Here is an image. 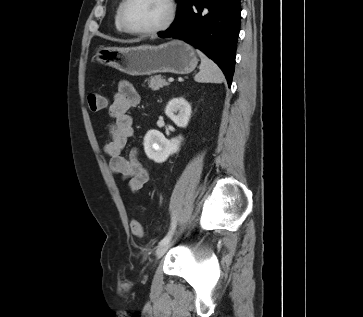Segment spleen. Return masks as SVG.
<instances>
[{
  "mask_svg": "<svg viewBox=\"0 0 363 317\" xmlns=\"http://www.w3.org/2000/svg\"><path fill=\"white\" fill-rule=\"evenodd\" d=\"M200 59V71L194 77L196 82L200 83H221L224 81V75L221 69L214 61L208 58L203 52L197 51Z\"/></svg>",
  "mask_w": 363,
  "mask_h": 317,
  "instance_id": "obj_1",
  "label": "spleen"
}]
</instances>
